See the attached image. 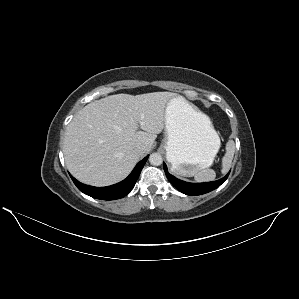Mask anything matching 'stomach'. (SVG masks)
<instances>
[{"label": "stomach", "mask_w": 299, "mask_h": 299, "mask_svg": "<svg viewBox=\"0 0 299 299\" xmlns=\"http://www.w3.org/2000/svg\"><path fill=\"white\" fill-rule=\"evenodd\" d=\"M161 146L174 173L192 176L211 166L220 148V138L205 114L176 95L166 105Z\"/></svg>", "instance_id": "0dacf381"}]
</instances>
